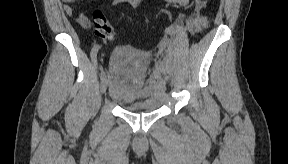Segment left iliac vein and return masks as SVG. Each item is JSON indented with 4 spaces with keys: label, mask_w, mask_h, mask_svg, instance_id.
<instances>
[{
    "label": "left iliac vein",
    "mask_w": 288,
    "mask_h": 164,
    "mask_svg": "<svg viewBox=\"0 0 288 164\" xmlns=\"http://www.w3.org/2000/svg\"><path fill=\"white\" fill-rule=\"evenodd\" d=\"M164 74H165V76H166V77H168V76H169L167 71H165V72H164Z\"/></svg>",
    "instance_id": "obj_1"
}]
</instances>
